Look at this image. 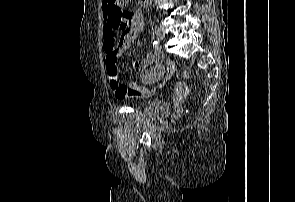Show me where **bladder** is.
I'll return each mask as SVG.
<instances>
[{"label":"bladder","instance_id":"bladder-1","mask_svg":"<svg viewBox=\"0 0 295 202\" xmlns=\"http://www.w3.org/2000/svg\"><path fill=\"white\" fill-rule=\"evenodd\" d=\"M144 115L152 120H157L168 115V104L162 100H152L143 109Z\"/></svg>","mask_w":295,"mask_h":202}]
</instances>
